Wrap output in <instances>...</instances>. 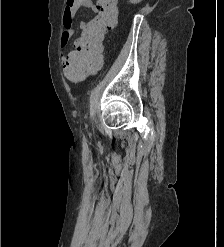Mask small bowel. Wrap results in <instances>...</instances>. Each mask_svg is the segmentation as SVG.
<instances>
[{
    "mask_svg": "<svg viewBox=\"0 0 224 247\" xmlns=\"http://www.w3.org/2000/svg\"><path fill=\"white\" fill-rule=\"evenodd\" d=\"M73 1H74L73 6L71 8L65 7V10L63 12V17H62L63 32L60 36L61 47H65L68 44L70 38L74 34V16L76 14V11L80 7H85L91 10L92 12L97 11V6L93 2V0H73ZM86 25H87L86 22H81L80 28L84 30ZM77 45L78 42L76 43V46ZM70 56L71 54H69L66 59L70 58Z\"/></svg>",
    "mask_w": 224,
    "mask_h": 247,
    "instance_id": "small-bowel-1",
    "label": "small bowel"
}]
</instances>
